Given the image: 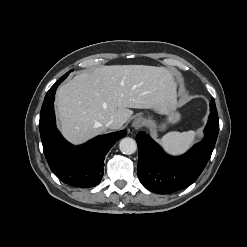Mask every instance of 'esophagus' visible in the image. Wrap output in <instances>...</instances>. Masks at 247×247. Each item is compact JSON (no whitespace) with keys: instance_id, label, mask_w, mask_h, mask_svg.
Instances as JSON below:
<instances>
[{"instance_id":"1","label":"esophagus","mask_w":247,"mask_h":247,"mask_svg":"<svg viewBox=\"0 0 247 247\" xmlns=\"http://www.w3.org/2000/svg\"><path fill=\"white\" fill-rule=\"evenodd\" d=\"M145 119L143 117H137L134 119V121L132 122V127L135 130H138L140 128H142L145 125Z\"/></svg>"}]
</instances>
